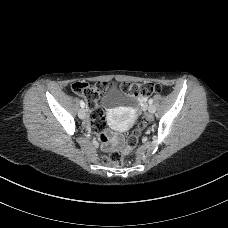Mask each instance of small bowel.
<instances>
[{
	"label": "small bowel",
	"instance_id": "c3829d8e",
	"mask_svg": "<svg viewBox=\"0 0 228 228\" xmlns=\"http://www.w3.org/2000/svg\"><path fill=\"white\" fill-rule=\"evenodd\" d=\"M141 106H143V101H141ZM90 123L91 122L88 121L86 124L88 128H90L91 126ZM126 125L128 126L129 122ZM99 139L102 143V148L104 150H110L115 147H121L124 143L123 135L113 130H106L104 133L99 135Z\"/></svg>",
	"mask_w": 228,
	"mask_h": 228
}]
</instances>
